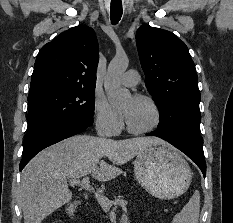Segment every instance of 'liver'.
Returning <instances> with one entry per match:
<instances>
[{
	"mask_svg": "<svg viewBox=\"0 0 233 223\" xmlns=\"http://www.w3.org/2000/svg\"><path fill=\"white\" fill-rule=\"evenodd\" d=\"M163 143L160 137L106 139L95 135H73L37 153L23 171L19 199L24 223H41L73 197L69 177L92 175L110 181L122 173L121 167L148 145ZM103 157H107L105 161Z\"/></svg>",
	"mask_w": 233,
	"mask_h": 223,
	"instance_id": "1",
	"label": "liver"
}]
</instances>
